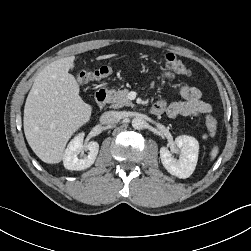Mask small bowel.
<instances>
[{"label":"small bowel","mask_w":251,"mask_h":251,"mask_svg":"<svg viewBox=\"0 0 251 251\" xmlns=\"http://www.w3.org/2000/svg\"><path fill=\"white\" fill-rule=\"evenodd\" d=\"M166 77L173 79V73H166ZM180 94L184 101L168 103L162 99L154 105L159 109L158 114L166 113L170 118L178 116H201L211 111V105L201 99V90L194 85L183 84Z\"/></svg>","instance_id":"c3829d8e"}]
</instances>
